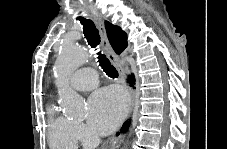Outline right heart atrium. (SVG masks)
Here are the masks:
<instances>
[{"label": "right heart atrium", "mask_w": 227, "mask_h": 149, "mask_svg": "<svg viewBox=\"0 0 227 149\" xmlns=\"http://www.w3.org/2000/svg\"><path fill=\"white\" fill-rule=\"evenodd\" d=\"M74 132L76 138L83 142L90 137L87 128L80 122H74Z\"/></svg>", "instance_id": "right-heart-atrium-1"}]
</instances>
